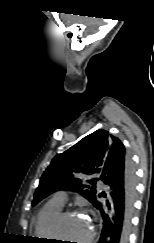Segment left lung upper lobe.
I'll use <instances>...</instances> for the list:
<instances>
[{"label": "left lung upper lobe", "mask_w": 154, "mask_h": 243, "mask_svg": "<svg viewBox=\"0 0 154 243\" xmlns=\"http://www.w3.org/2000/svg\"><path fill=\"white\" fill-rule=\"evenodd\" d=\"M123 149L122 142L99 129L84 137L67 151L55 156L43 173L34 194L32 205L58 190H75L93 203L99 190L97 178L83 184L82 174L100 173L109 154H116Z\"/></svg>", "instance_id": "left-lung-upper-lobe-1"}]
</instances>
